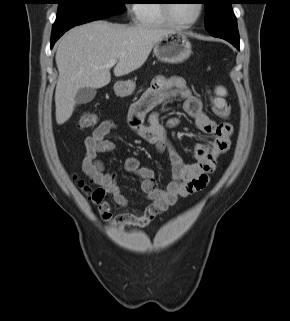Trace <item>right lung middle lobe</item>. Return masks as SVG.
Here are the masks:
<instances>
[{
  "mask_svg": "<svg viewBox=\"0 0 290 321\" xmlns=\"http://www.w3.org/2000/svg\"><path fill=\"white\" fill-rule=\"evenodd\" d=\"M52 30H62L123 13L124 0H58Z\"/></svg>",
  "mask_w": 290,
  "mask_h": 321,
  "instance_id": "obj_1",
  "label": "right lung middle lobe"
}]
</instances>
